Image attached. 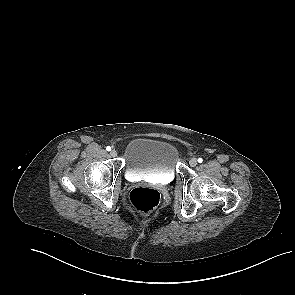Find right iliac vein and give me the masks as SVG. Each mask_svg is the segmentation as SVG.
Instances as JSON below:
<instances>
[{
    "instance_id": "1",
    "label": "right iliac vein",
    "mask_w": 295,
    "mask_h": 295,
    "mask_svg": "<svg viewBox=\"0 0 295 295\" xmlns=\"http://www.w3.org/2000/svg\"><path fill=\"white\" fill-rule=\"evenodd\" d=\"M111 157H116L117 156V151L116 150H111L110 152Z\"/></svg>"
}]
</instances>
